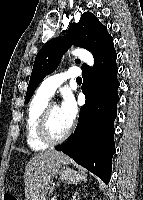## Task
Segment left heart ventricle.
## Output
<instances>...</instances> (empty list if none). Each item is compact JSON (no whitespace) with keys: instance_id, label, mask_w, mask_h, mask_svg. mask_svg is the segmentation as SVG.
Masks as SVG:
<instances>
[{"instance_id":"b2bd125f","label":"left heart ventricle","mask_w":143,"mask_h":200,"mask_svg":"<svg viewBox=\"0 0 143 200\" xmlns=\"http://www.w3.org/2000/svg\"><path fill=\"white\" fill-rule=\"evenodd\" d=\"M69 126L70 125L66 122V120L62 116L59 107L57 105H53L51 108L50 118H49V130L52 136L60 137L67 131Z\"/></svg>"}]
</instances>
